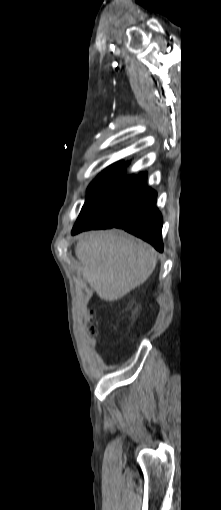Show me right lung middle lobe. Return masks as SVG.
Returning a JSON list of instances; mask_svg holds the SVG:
<instances>
[{
  "label": "right lung middle lobe",
  "mask_w": 221,
  "mask_h": 510,
  "mask_svg": "<svg viewBox=\"0 0 221 510\" xmlns=\"http://www.w3.org/2000/svg\"><path fill=\"white\" fill-rule=\"evenodd\" d=\"M127 164L110 166L88 188L85 205L103 218H117L130 196L138 176H121Z\"/></svg>",
  "instance_id": "right-lung-middle-lobe-1"
}]
</instances>
